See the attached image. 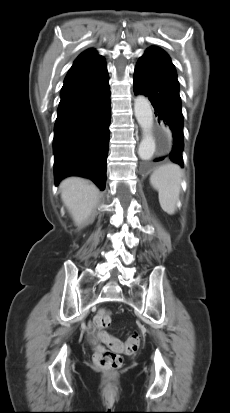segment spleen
<instances>
[{"label":"spleen","instance_id":"spleen-1","mask_svg":"<svg viewBox=\"0 0 230 413\" xmlns=\"http://www.w3.org/2000/svg\"><path fill=\"white\" fill-rule=\"evenodd\" d=\"M182 180L181 168L172 163L164 164L150 176V183L158 191L161 208L173 215L179 200Z\"/></svg>","mask_w":230,"mask_h":413}]
</instances>
